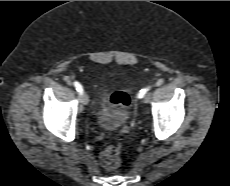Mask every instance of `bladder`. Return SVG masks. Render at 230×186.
I'll return each instance as SVG.
<instances>
[{
  "label": "bladder",
  "mask_w": 230,
  "mask_h": 186,
  "mask_svg": "<svg viewBox=\"0 0 230 186\" xmlns=\"http://www.w3.org/2000/svg\"><path fill=\"white\" fill-rule=\"evenodd\" d=\"M126 113L123 110L115 109L109 112L102 113L97 120L100 128L106 131H112L123 123Z\"/></svg>",
  "instance_id": "obj_1"
}]
</instances>
